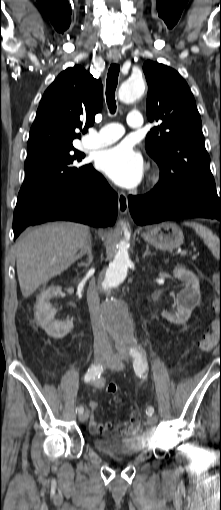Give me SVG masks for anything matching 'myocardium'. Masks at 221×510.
Segmentation results:
<instances>
[{
  "label": "myocardium",
  "instance_id": "obj_1",
  "mask_svg": "<svg viewBox=\"0 0 221 510\" xmlns=\"http://www.w3.org/2000/svg\"><path fill=\"white\" fill-rule=\"evenodd\" d=\"M160 180V175L159 173H152L150 176H149V179H148V182L151 186H155L158 184Z\"/></svg>",
  "mask_w": 221,
  "mask_h": 510
}]
</instances>
